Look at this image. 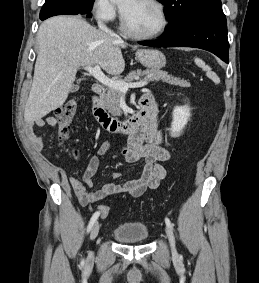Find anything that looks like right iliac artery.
Segmentation results:
<instances>
[{
  "mask_svg": "<svg viewBox=\"0 0 259 283\" xmlns=\"http://www.w3.org/2000/svg\"><path fill=\"white\" fill-rule=\"evenodd\" d=\"M100 213L97 211L95 212L91 219H90V222L88 224V227H87V232H90V230L92 229L93 225L95 224V222L97 221L98 217H99ZM84 262V260H82V263Z\"/></svg>",
  "mask_w": 259,
  "mask_h": 283,
  "instance_id": "82829eb1",
  "label": "right iliac artery"
}]
</instances>
